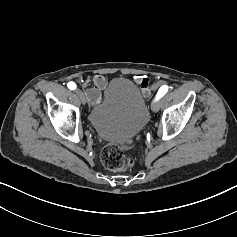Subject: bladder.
I'll list each match as a JSON object with an SVG mask.
<instances>
[{
	"instance_id": "31cf9c89",
	"label": "bladder",
	"mask_w": 237,
	"mask_h": 237,
	"mask_svg": "<svg viewBox=\"0 0 237 237\" xmlns=\"http://www.w3.org/2000/svg\"><path fill=\"white\" fill-rule=\"evenodd\" d=\"M148 110L139 87L127 78L114 79L104 99L89 114V122L102 139L123 143L147 123Z\"/></svg>"
}]
</instances>
